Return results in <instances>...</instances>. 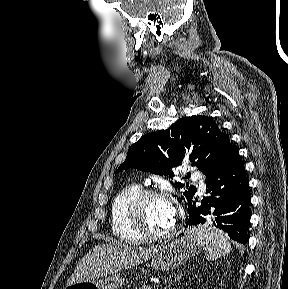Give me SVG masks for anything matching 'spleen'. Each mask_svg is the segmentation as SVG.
I'll use <instances>...</instances> for the list:
<instances>
[{
    "label": "spleen",
    "instance_id": "spleen-1",
    "mask_svg": "<svg viewBox=\"0 0 288 289\" xmlns=\"http://www.w3.org/2000/svg\"><path fill=\"white\" fill-rule=\"evenodd\" d=\"M189 233L205 247V256L208 260H214L231 251V245L226 235L219 228L211 225H198L190 228Z\"/></svg>",
    "mask_w": 288,
    "mask_h": 289
}]
</instances>
